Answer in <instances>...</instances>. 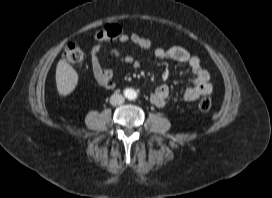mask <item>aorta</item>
Segmentation results:
<instances>
[{"label":"aorta","mask_w":272,"mask_h":198,"mask_svg":"<svg viewBox=\"0 0 272 198\" xmlns=\"http://www.w3.org/2000/svg\"><path fill=\"white\" fill-rule=\"evenodd\" d=\"M125 96L130 99V100H133V99H136L137 98V92L134 90V89H127L125 91Z\"/></svg>","instance_id":"762f6f07"}]
</instances>
